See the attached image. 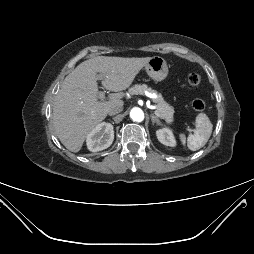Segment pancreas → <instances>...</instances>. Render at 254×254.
<instances>
[{"label": "pancreas", "instance_id": "cf45deb5", "mask_svg": "<svg viewBox=\"0 0 254 254\" xmlns=\"http://www.w3.org/2000/svg\"><path fill=\"white\" fill-rule=\"evenodd\" d=\"M145 91L149 93H154L155 91L148 87L146 84H136L129 89L131 94H143ZM156 103L157 111L160 114L162 119H165L167 122L173 121V113L174 109L172 106H169L167 102H165L161 95L157 96L153 99Z\"/></svg>", "mask_w": 254, "mask_h": 254}]
</instances>
